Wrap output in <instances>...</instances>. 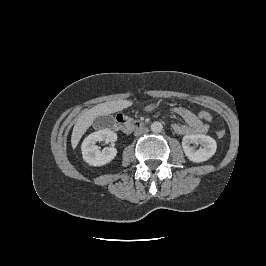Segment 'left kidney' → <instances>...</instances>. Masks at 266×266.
<instances>
[{
    "mask_svg": "<svg viewBox=\"0 0 266 266\" xmlns=\"http://www.w3.org/2000/svg\"><path fill=\"white\" fill-rule=\"evenodd\" d=\"M199 143L202 145L199 149H195L191 144ZM183 150L187 158L195 163H200L210 159L216 152V141L207 135L195 134L186 135L182 141Z\"/></svg>",
    "mask_w": 266,
    "mask_h": 266,
    "instance_id": "obj_1",
    "label": "left kidney"
}]
</instances>
